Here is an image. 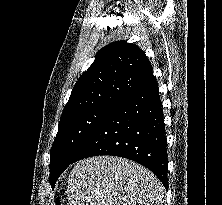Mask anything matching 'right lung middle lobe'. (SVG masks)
Wrapping results in <instances>:
<instances>
[{
	"mask_svg": "<svg viewBox=\"0 0 222 205\" xmlns=\"http://www.w3.org/2000/svg\"><path fill=\"white\" fill-rule=\"evenodd\" d=\"M116 104L96 106L60 120L50 152L49 182L54 185L85 140Z\"/></svg>",
	"mask_w": 222,
	"mask_h": 205,
	"instance_id": "1",
	"label": "right lung middle lobe"
}]
</instances>
